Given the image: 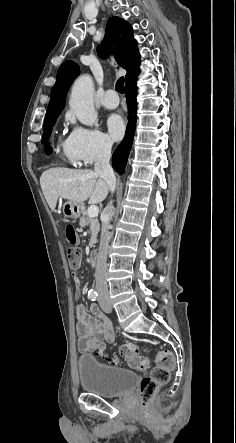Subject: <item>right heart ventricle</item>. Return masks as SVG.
Returning a JSON list of instances; mask_svg holds the SVG:
<instances>
[{"label":"right heart ventricle","instance_id":"obj_1","mask_svg":"<svg viewBox=\"0 0 236 443\" xmlns=\"http://www.w3.org/2000/svg\"><path fill=\"white\" fill-rule=\"evenodd\" d=\"M62 148H63V152H64L65 157L67 158V160H68L70 163H74L71 159H69V158L67 157V154H66V141H65L64 143H62Z\"/></svg>","mask_w":236,"mask_h":443}]
</instances>
